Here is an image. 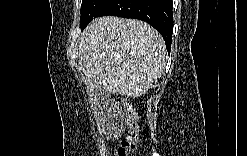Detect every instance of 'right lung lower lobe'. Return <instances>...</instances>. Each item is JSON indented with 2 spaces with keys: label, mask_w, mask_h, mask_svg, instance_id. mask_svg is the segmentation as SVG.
<instances>
[{
  "label": "right lung lower lobe",
  "mask_w": 247,
  "mask_h": 156,
  "mask_svg": "<svg viewBox=\"0 0 247 156\" xmlns=\"http://www.w3.org/2000/svg\"><path fill=\"white\" fill-rule=\"evenodd\" d=\"M104 15L134 18L149 23L160 32L170 53L173 32L172 0H108L96 17Z\"/></svg>",
  "instance_id": "right-lung-lower-lobe-1"
}]
</instances>
